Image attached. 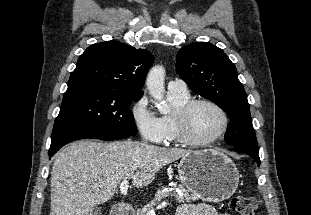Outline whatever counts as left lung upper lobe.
Returning <instances> with one entry per match:
<instances>
[{
    "label": "left lung upper lobe",
    "instance_id": "5c2ea615",
    "mask_svg": "<svg viewBox=\"0 0 311 215\" xmlns=\"http://www.w3.org/2000/svg\"><path fill=\"white\" fill-rule=\"evenodd\" d=\"M176 60V72L192 91L227 113L231 122L226 143L259 152L246 92L224 51L209 42H195L180 49Z\"/></svg>",
    "mask_w": 311,
    "mask_h": 215
}]
</instances>
